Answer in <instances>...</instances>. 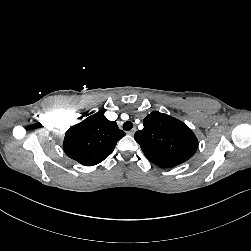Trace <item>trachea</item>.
<instances>
[{
	"mask_svg": "<svg viewBox=\"0 0 251 251\" xmlns=\"http://www.w3.org/2000/svg\"><path fill=\"white\" fill-rule=\"evenodd\" d=\"M133 128V123L131 121H126L124 124H123V129L126 130V131H129Z\"/></svg>",
	"mask_w": 251,
	"mask_h": 251,
	"instance_id": "1",
	"label": "trachea"
}]
</instances>
